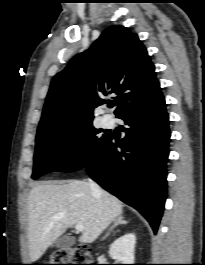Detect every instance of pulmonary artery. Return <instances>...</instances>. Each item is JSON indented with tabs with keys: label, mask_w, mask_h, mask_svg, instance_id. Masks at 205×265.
Segmentation results:
<instances>
[{
	"label": "pulmonary artery",
	"mask_w": 205,
	"mask_h": 265,
	"mask_svg": "<svg viewBox=\"0 0 205 265\" xmlns=\"http://www.w3.org/2000/svg\"><path fill=\"white\" fill-rule=\"evenodd\" d=\"M102 121H103L104 126H107L108 127V126H111L112 125L113 118L110 115H104Z\"/></svg>",
	"instance_id": "1"
}]
</instances>
